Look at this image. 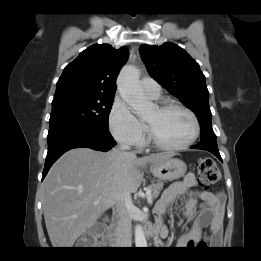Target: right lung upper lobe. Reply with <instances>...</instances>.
<instances>
[{
	"instance_id": "cb5924a9",
	"label": "right lung upper lobe",
	"mask_w": 261,
	"mask_h": 261,
	"mask_svg": "<svg viewBox=\"0 0 261 261\" xmlns=\"http://www.w3.org/2000/svg\"><path fill=\"white\" fill-rule=\"evenodd\" d=\"M127 57L128 51L125 47L114 49L109 44L88 47L65 67L57 82L55 94L114 97L116 78Z\"/></svg>"
}]
</instances>
